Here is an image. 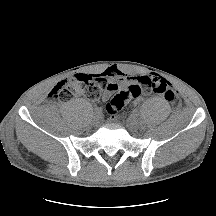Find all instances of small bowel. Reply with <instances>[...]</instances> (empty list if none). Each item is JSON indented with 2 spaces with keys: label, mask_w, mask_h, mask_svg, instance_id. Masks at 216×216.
<instances>
[{
  "label": "small bowel",
  "mask_w": 216,
  "mask_h": 216,
  "mask_svg": "<svg viewBox=\"0 0 216 216\" xmlns=\"http://www.w3.org/2000/svg\"><path fill=\"white\" fill-rule=\"evenodd\" d=\"M99 76L104 77L107 80V87L103 92L102 99L108 100L118 89L121 87H129L139 83L144 76L130 75L117 67H109L105 69ZM147 93L146 91H144ZM134 103L140 101V95L133 98Z\"/></svg>",
  "instance_id": "obj_1"
}]
</instances>
